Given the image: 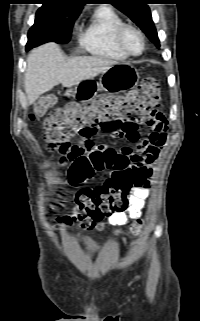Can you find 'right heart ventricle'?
I'll list each match as a JSON object with an SVG mask.
<instances>
[{"mask_svg":"<svg viewBox=\"0 0 200 321\" xmlns=\"http://www.w3.org/2000/svg\"><path fill=\"white\" fill-rule=\"evenodd\" d=\"M123 23L124 20L113 8L100 6L80 32L79 45L94 56L126 60L128 56L118 48L115 42V33Z\"/></svg>","mask_w":200,"mask_h":321,"instance_id":"e07e8e85","label":"right heart ventricle"}]
</instances>
